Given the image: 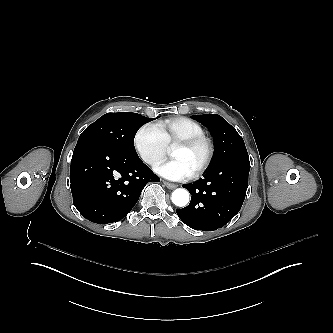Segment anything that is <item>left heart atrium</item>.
I'll return each mask as SVG.
<instances>
[{
  "instance_id": "obj_1",
  "label": "left heart atrium",
  "mask_w": 333,
  "mask_h": 333,
  "mask_svg": "<svg viewBox=\"0 0 333 333\" xmlns=\"http://www.w3.org/2000/svg\"><path fill=\"white\" fill-rule=\"evenodd\" d=\"M156 171L161 176L174 181L189 180L194 174L190 167L176 159L167 160L162 163Z\"/></svg>"
}]
</instances>
